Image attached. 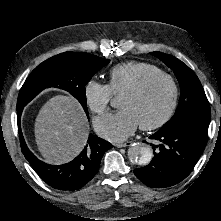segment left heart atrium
<instances>
[{
	"label": "left heart atrium",
	"instance_id": "obj_1",
	"mask_svg": "<svg viewBox=\"0 0 221 221\" xmlns=\"http://www.w3.org/2000/svg\"><path fill=\"white\" fill-rule=\"evenodd\" d=\"M95 126L103 137L114 142H120L135 132L139 122L133 113L128 110H121L98 119Z\"/></svg>",
	"mask_w": 221,
	"mask_h": 221
}]
</instances>
